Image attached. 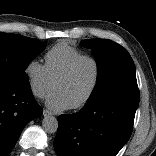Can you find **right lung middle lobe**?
<instances>
[{
  "instance_id": "dd1d6c3e",
  "label": "right lung middle lobe",
  "mask_w": 156,
  "mask_h": 156,
  "mask_svg": "<svg viewBox=\"0 0 156 156\" xmlns=\"http://www.w3.org/2000/svg\"><path fill=\"white\" fill-rule=\"evenodd\" d=\"M45 48V43L17 34L0 33V81L29 85L25 73L30 62Z\"/></svg>"
}]
</instances>
